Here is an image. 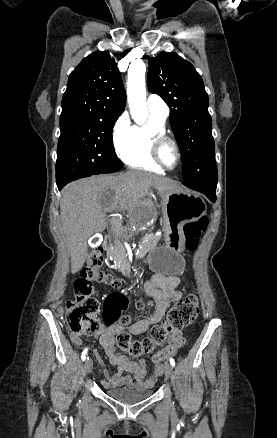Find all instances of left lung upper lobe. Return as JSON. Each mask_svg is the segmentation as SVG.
Segmentation results:
<instances>
[{
	"instance_id": "left-lung-upper-lobe-1",
	"label": "left lung upper lobe",
	"mask_w": 277,
	"mask_h": 438,
	"mask_svg": "<svg viewBox=\"0 0 277 438\" xmlns=\"http://www.w3.org/2000/svg\"><path fill=\"white\" fill-rule=\"evenodd\" d=\"M148 62L149 91L160 95L170 108L184 183L216 187L212 120L201 76L190 62L173 52H161Z\"/></svg>"
}]
</instances>
